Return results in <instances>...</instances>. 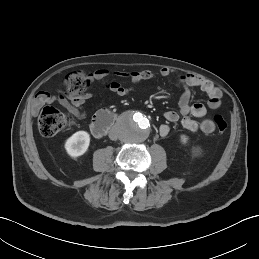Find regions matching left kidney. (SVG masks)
Masks as SVG:
<instances>
[{"label":"left kidney","instance_id":"1","mask_svg":"<svg viewBox=\"0 0 259 259\" xmlns=\"http://www.w3.org/2000/svg\"><path fill=\"white\" fill-rule=\"evenodd\" d=\"M180 140L183 144H186L189 140V138L186 135H181Z\"/></svg>","mask_w":259,"mask_h":259}]
</instances>
